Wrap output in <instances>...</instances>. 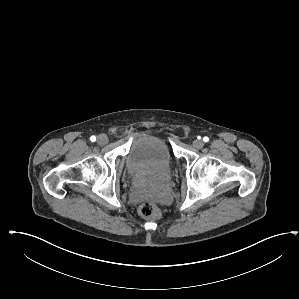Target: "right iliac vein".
<instances>
[{
	"mask_svg": "<svg viewBox=\"0 0 299 299\" xmlns=\"http://www.w3.org/2000/svg\"><path fill=\"white\" fill-rule=\"evenodd\" d=\"M97 142L99 145H105L108 143V137L107 135L105 134H100L98 137H97Z\"/></svg>",
	"mask_w": 299,
	"mask_h": 299,
	"instance_id": "obj_1",
	"label": "right iliac vein"
}]
</instances>
